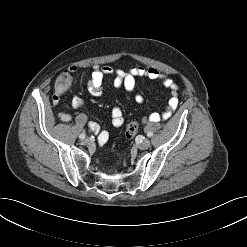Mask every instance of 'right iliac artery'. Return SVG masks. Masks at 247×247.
<instances>
[{"label": "right iliac artery", "mask_w": 247, "mask_h": 247, "mask_svg": "<svg viewBox=\"0 0 247 247\" xmlns=\"http://www.w3.org/2000/svg\"><path fill=\"white\" fill-rule=\"evenodd\" d=\"M85 136H86V134H85V133H82V134H80L79 138H80L81 140H83V139L85 138Z\"/></svg>", "instance_id": "right-iliac-artery-1"}]
</instances>
